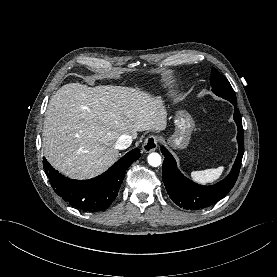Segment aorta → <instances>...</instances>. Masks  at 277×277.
Here are the masks:
<instances>
[{
    "label": "aorta",
    "mask_w": 277,
    "mask_h": 277,
    "mask_svg": "<svg viewBox=\"0 0 277 277\" xmlns=\"http://www.w3.org/2000/svg\"><path fill=\"white\" fill-rule=\"evenodd\" d=\"M161 156L158 153H150L148 155V163L153 166L157 167L161 164Z\"/></svg>",
    "instance_id": "obj_1"
}]
</instances>
